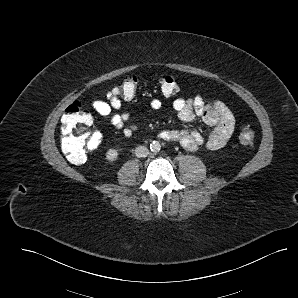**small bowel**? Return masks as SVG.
Listing matches in <instances>:
<instances>
[{"label": "small bowel", "instance_id": "1", "mask_svg": "<svg viewBox=\"0 0 298 298\" xmlns=\"http://www.w3.org/2000/svg\"><path fill=\"white\" fill-rule=\"evenodd\" d=\"M172 106L180 120L190 122L200 117L206 125L213 127L207 137L196 130L172 129L160 133L162 139L178 141L188 151H195L202 146L210 150L220 149L227 143L234 131V114L220 100L208 99L202 94H196L190 98H176ZM150 107L155 111L160 110L161 100L152 99ZM92 108L98 115L108 117L111 124L127 138L133 136L138 130L136 124L130 123L131 113L121 111V101L117 97L108 94L107 100L93 101Z\"/></svg>", "mask_w": 298, "mask_h": 298}]
</instances>
